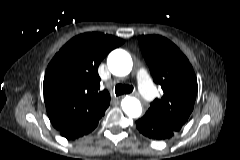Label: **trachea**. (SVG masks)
Returning a JSON list of instances; mask_svg holds the SVG:
<instances>
[{"mask_svg": "<svg viewBox=\"0 0 240 160\" xmlns=\"http://www.w3.org/2000/svg\"><path fill=\"white\" fill-rule=\"evenodd\" d=\"M133 86L132 85H125V84H118L115 87V94L117 96L122 95V94H128L133 91Z\"/></svg>", "mask_w": 240, "mask_h": 160, "instance_id": "obj_1", "label": "trachea"}]
</instances>
